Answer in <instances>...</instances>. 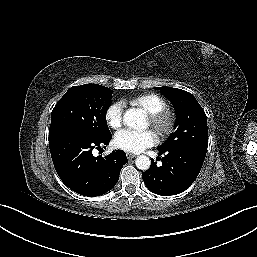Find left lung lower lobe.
Masks as SVG:
<instances>
[{"label": "left lung lower lobe", "instance_id": "left-lung-lower-lobe-1", "mask_svg": "<svg viewBox=\"0 0 257 257\" xmlns=\"http://www.w3.org/2000/svg\"><path fill=\"white\" fill-rule=\"evenodd\" d=\"M162 166L153 161L151 167L142 174L147 188L163 196L179 194L189 188L197 178L206 153L195 149L160 150ZM152 160V159H151Z\"/></svg>", "mask_w": 257, "mask_h": 257}]
</instances>
